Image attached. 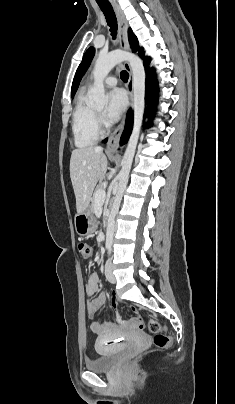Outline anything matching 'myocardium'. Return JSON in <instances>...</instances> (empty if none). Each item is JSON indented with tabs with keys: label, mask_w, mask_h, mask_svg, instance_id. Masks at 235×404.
I'll list each match as a JSON object with an SVG mask.
<instances>
[{
	"label": "myocardium",
	"mask_w": 235,
	"mask_h": 404,
	"mask_svg": "<svg viewBox=\"0 0 235 404\" xmlns=\"http://www.w3.org/2000/svg\"><path fill=\"white\" fill-rule=\"evenodd\" d=\"M97 118H98V123L102 122V115L100 112H96Z\"/></svg>",
	"instance_id": "1"
}]
</instances>
